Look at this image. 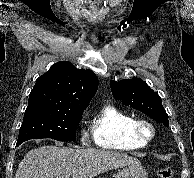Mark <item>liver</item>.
<instances>
[{
  "instance_id": "obj_1",
  "label": "liver",
  "mask_w": 194,
  "mask_h": 178,
  "mask_svg": "<svg viewBox=\"0 0 194 178\" xmlns=\"http://www.w3.org/2000/svg\"><path fill=\"white\" fill-rule=\"evenodd\" d=\"M139 164L138 159L116 151L48 145L30 150L14 178H93L112 169Z\"/></svg>"
}]
</instances>
